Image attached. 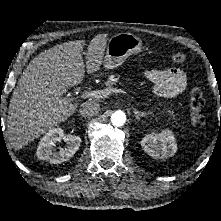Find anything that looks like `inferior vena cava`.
Returning <instances> with one entry per match:
<instances>
[{"mask_svg":"<svg viewBox=\"0 0 221 221\" xmlns=\"http://www.w3.org/2000/svg\"><path fill=\"white\" fill-rule=\"evenodd\" d=\"M100 110V106L95 101H88L81 104L79 108L80 116L87 118L96 115Z\"/></svg>","mask_w":221,"mask_h":221,"instance_id":"obj_1","label":"inferior vena cava"}]
</instances>
